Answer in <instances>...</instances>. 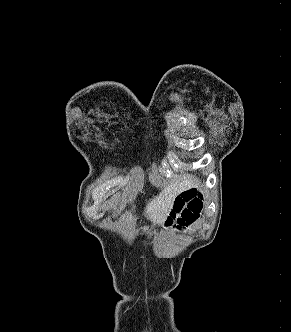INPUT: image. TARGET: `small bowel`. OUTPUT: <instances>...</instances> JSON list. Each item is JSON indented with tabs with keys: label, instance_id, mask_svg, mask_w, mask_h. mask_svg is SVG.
<instances>
[{
	"label": "small bowel",
	"instance_id": "small-bowel-1",
	"mask_svg": "<svg viewBox=\"0 0 291 332\" xmlns=\"http://www.w3.org/2000/svg\"><path fill=\"white\" fill-rule=\"evenodd\" d=\"M183 192H184V193H189V194H196V193H198L197 190H196L195 188H193V187L188 188V189H186V190L183 191Z\"/></svg>",
	"mask_w": 291,
	"mask_h": 332
}]
</instances>
